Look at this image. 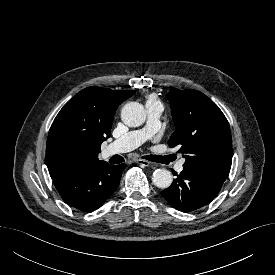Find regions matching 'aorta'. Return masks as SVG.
I'll use <instances>...</instances> for the list:
<instances>
[{
	"instance_id": "obj_1",
	"label": "aorta",
	"mask_w": 275,
	"mask_h": 275,
	"mask_svg": "<svg viewBox=\"0 0 275 275\" xmlns=\"http://www.w3.org/2000/svg\"><path fill=\"white\" fill-rule=\"evenodd\" d=\"M121 119L129 127H138L145 122L146 111L138 102H129L121 110ZM153 184L161 189L168 188L172 183V174L169 170L161 168L154 171Z\"/></svg>"
}]
</instances>
